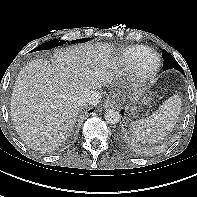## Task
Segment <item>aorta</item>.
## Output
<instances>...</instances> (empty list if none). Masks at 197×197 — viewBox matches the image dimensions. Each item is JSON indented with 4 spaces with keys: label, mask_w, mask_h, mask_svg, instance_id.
<instances>
[{
    "label": "aorta",
    "mask_w": 197,
    "mask_h": 197,
    "mask_svg": "<svg viewBox=\"0 0 197 197\" xmlns=\"http://www.w3.org/2000/svg\"><path fill=\"white\" fill-rule=\"evenodd\" d=\"M104 118L109 124H117L120 120V114L114 109H108L104 115Z\"/></svg>",
    "instance_id": "1"
}]
</instances>
